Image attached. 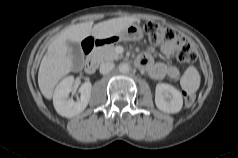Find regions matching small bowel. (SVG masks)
<instances>
[{"instance_id": "obj_1", "label": "small bowel", "mask_w": 238, "mask_h": 158, "mask_svg": "<svg viewBox=\"0 0 238 158\" xmlns=\"http://www.w3.org/2000/svg\"><path fill=\"white\" fill-rule=\"evenodd\" d=\"M181 42L179 40L166 42L162 47V53L165 57H173L180 49ZM137 65L146 70L151 78L160 80L165 77L176 80L180 76V70L173 65H167L162 62H155L149 53L142 54L137 59Z\"/></svg>"}]
</instances>
